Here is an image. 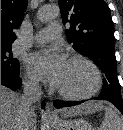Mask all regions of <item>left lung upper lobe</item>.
Instances as JSON below:
<instances>
[{"label":"left lung upper lobe","mask_w":123,"mask_h":130,"mask_svg":"<svg viewBox=\"0 0 123 130\" xmlns=\"http://www.w3.org/2000/svg\"><path fill=\"white\" fill-rule=\"evenodd\" d=\"M67 38L73 48L89 57L104 74L102 99L123 107L115 63L114 25L104 0H58Z\"/></svg>","instance_id":"5c2ea615"}]
</instances>
